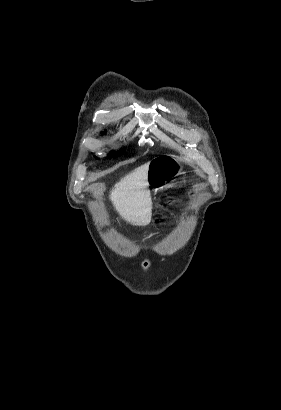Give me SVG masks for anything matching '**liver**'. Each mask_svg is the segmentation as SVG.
<instances>
[{
    "mask_svg": "<svg viewBox=\"0 0 281 410\" xmlns=\"http://www.w3.org/2000/svg\"><path fill=\"white\" fill-rule=\"evenodd\" d=\"M148 168L146 163L122 178L110 192V199L127 222L146 226L152 215V202L148 187Z\"/></svg>",
    "mask_w": 281,
    "mask_h": 410,
    "instance_id": "liver-1",
    "label": "liver"
}]
</instances>
